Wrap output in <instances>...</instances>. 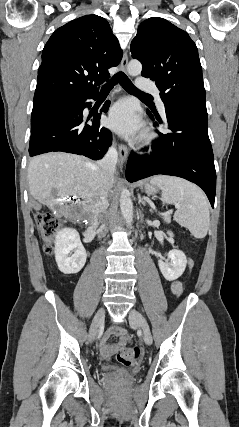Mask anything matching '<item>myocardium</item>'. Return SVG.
<instances>
[{"instance_id":"f54148a6","label":"myocardium","mask_w":239,"mask_h":427,"mask_svg":"<svg viewBox=\"0 0 239 427\" xmlns=\"http://www.w3.org/2000/svg\"><path fill=\"white\" fill-rule=\"evenodd\" d=\"M154 139H155V135L153 133H150V132L145 133L142 137V140H141L142 146L151 145L153 143Z\"/></svg>"}]
</instances>
